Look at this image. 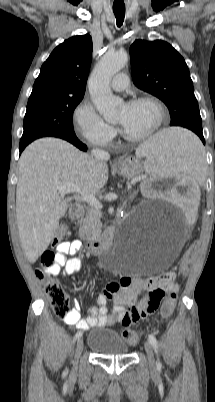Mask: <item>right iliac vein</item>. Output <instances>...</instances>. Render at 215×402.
Here are the masks:
<instances>
[{"instance_id": "obj_1", "label": "right iliac vein", "mask_w": 215, "mask_h": 402, "mask_svg": "<svg viewBox=\"0 0 215 402\" xmlns=\"http://www.w3.org/2000/svg\"><path fill=\"white\" fill-rule=\"evenodd\" d=\"M83 350V341L82 339H78L76 347H75V364H77V360Z\"/></svg>"}]
</instances>
